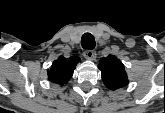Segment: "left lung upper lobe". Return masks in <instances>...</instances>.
<instances>
[{
	"label": "left lung upper lobe",
	"mask_w": 165,
	"mask_h": 113,
	"mask_svg": "<svg viewBox=\"0 0 165 113\" xmlns=\"http://www.w3.org/2000/svg\"><path fill=\"white\" fill-rule=\"evenodd\" d=\"M102 79L110 89L123 87L127 84V76L124 65L115 56H108L100 60Z\"/></svg>",
	"instance_id": "left-lung-upper-lobe-1"
}]
</instances>
